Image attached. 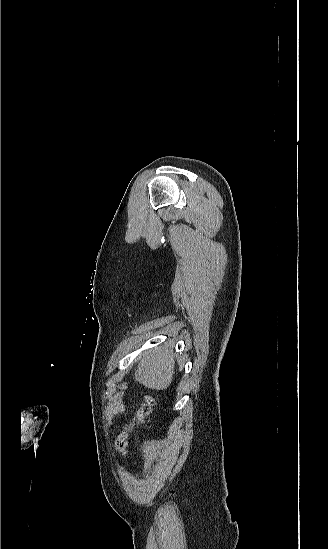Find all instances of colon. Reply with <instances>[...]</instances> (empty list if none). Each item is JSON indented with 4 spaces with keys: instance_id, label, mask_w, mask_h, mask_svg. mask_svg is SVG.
I'll list each match as a JSON object with an SVG mask.
<instances>
[{
    "instance_id": "colon-1",
    "label": "colon",
    "mask_w": 328,
    "mask_h": 549,
    "mask_svg": "<svg viewBox=\"0 0 328 549\" xmlns=\"http://www.w3.org/2000/svg\"><path fill=\"white\" fill-rule=\"evenodd\" d=\"M153 407V400L148 397L146 398L145 402L136 410L134 414V421L137 424L144 423L146 419L149 417ZM128 435L127 432L124 431L120 433L116 438V446L120 453L126 454L127 453V441Z\"/></svg>"
}]
</instances>
